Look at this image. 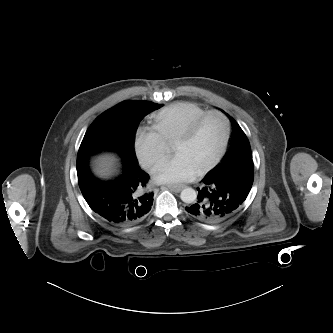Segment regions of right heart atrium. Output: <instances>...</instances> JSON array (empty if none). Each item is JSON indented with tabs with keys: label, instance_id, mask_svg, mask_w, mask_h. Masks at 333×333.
Masks as SVG:
<instances>
[{
	"label": "right heart atrium",
	"instance_id": "right-heart-atrium-1",
	"mask_svg": "<svg viewBox=\"0 0 333 333\" xmlns=\"http://www.w3.org/2000/svg\"><path fill=\"white\" fill-rule=\"evenodd\" d=\"M167 143L153 129L142 127L135 137V152L141 164L150 172L164 160Z\"/></svg>",
	"mask_w": 333,
	"mask_h": 333
}]
</instances>
